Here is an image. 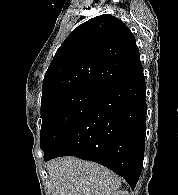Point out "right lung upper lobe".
<instances>
[{
	"label": "right lung upper lobe",
	"mask_w": 178,
	"mask_h": 195,
	"mask_svg": "<svg viewBox=\"0 0 178 195\" xmlns=\"http://www.w3.org/2000/svg\"><path fill=\"white\" fill-rule=\"evenodd\" d=\"M143 69L130 29L112 15H100L74 29L46 71L41 102L69 91H99Z\"/></svg>",
	"instance_id": "cb5924a9"
}]
</instances>
